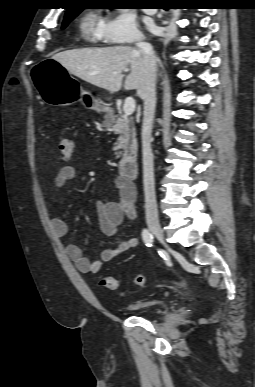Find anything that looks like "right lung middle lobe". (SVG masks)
Here are the masks:
<instances>
[{"label": "right lung middle lobe", "instance_id": "1", "mask_svg": "<svg viewBox=\"0 0 255 387\" xmlns=\"http://www.w3.org/2000/svg\"><path fill=\"white\" fill-rule=\"evenodd\" d=\"M81 10H82V8L75 7L73 9L69 10L68 12H66L65 18H64V21L62 24V28L64 29L69 24V22H71L79 14V12Z\"/></svg>", "mask_w": 255, "mask_h": 387}]
</instances>
